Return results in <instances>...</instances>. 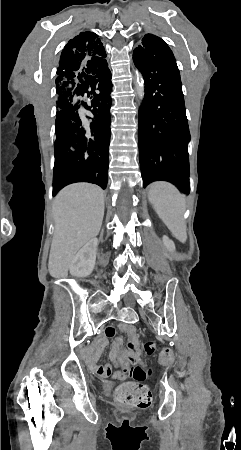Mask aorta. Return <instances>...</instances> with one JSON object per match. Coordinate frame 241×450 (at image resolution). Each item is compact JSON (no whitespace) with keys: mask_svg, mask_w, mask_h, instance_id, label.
<instances>
[{"mask_svg":"<svg viewBox=\"0 0 241 450\" xmlns=\"http://www.w3.org/2000/svg\"><path fill=\"white\" fill-rule=\"evenodd\" d=\"M144 89H145V85H144L143 76H142L141 73L136 72V75H135V90H136V93H137L139 99H143Z\"/></svg>","mask_w":241,"mask_h":450,"instance_id":"obj_1","label":"aorta"}]
</instances>
